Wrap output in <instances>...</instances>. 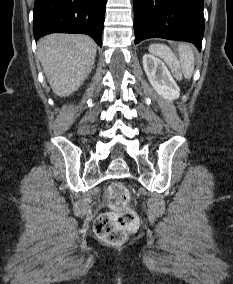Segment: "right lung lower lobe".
<instances>
[{
	"instance_id": "right-lung-lower-lobe-1",
	"label": "right lung lower lobe",
	"mask_w": 233,
	"mask_h": 284,
	"mask_svg": "<svg viewBox=\"0 0 233 284\" xmlns=\"http://www.w3.org/2000/svg\"><path fill=\"white\" fill-rule=\"evenodd\" d=\"M107 0H35V39L54 32L83 33L102 45Z\"/></svg>"
}]
</instances>
